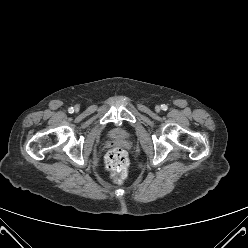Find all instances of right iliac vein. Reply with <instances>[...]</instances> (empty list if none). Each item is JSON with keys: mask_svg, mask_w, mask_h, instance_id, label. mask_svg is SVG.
Returning a JSON list of instances; mask_svg holds the SVG:
<instances>
[{"mask_svg": "<svg viewBox=\"0 0 248 248\" xmlns=\"http://www.w3.org/2000/svg\"><path fill=\"white\" fill-rule=\"evenodd\" d=\"M75 110L77 111L78 110V107H75Z\"/></svg>", "mask_w": 248, "mask_h": 248, "instance_id": "obj_1", "label": "right iliac vein"}]
</instances>
